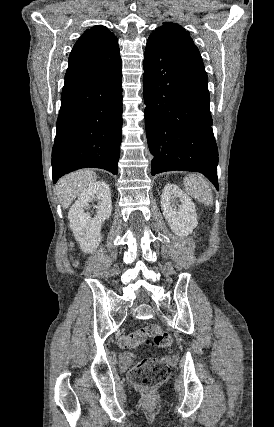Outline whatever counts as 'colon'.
<instances>
[{"label":"colon","mask_w":274,"mask_h":427,"mask_svg":"<svg viewBox=\"0 0 274 427\" xmlns=\"http://www.w3.org/2000/svg\"><path fill=\"white\" fill-rule=\"evenodd\" d=\"M119 345L123 349L144 345L147 349L158 347L169 348L172 338L155 324H147L138 330L123 334L119 337ZM170 368L156 357H144L129 370V379L136 389H148L149 394L155 393V388L163 385L169 378Z\"/></svg>","instance_id":"1"}]
</instances>
